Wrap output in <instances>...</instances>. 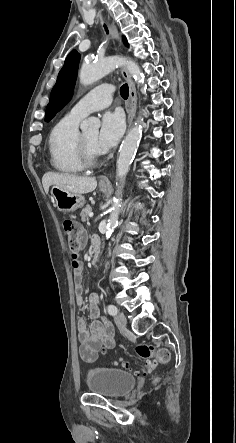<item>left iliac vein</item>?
I'll use <instances>...</instances> for the list:
<instances>
[{
    "label": "left iliac vein",
    "instance_id": "obj_1",
    "mask_svg": "<svg viewBox=\"0 0 236 443\" xmlns=\"http://www.w3.org/2000/svg\"><path fill=\"white\" fill-rule=\"evenodd\" d=\"M114 319H115V323L118 326V328H120V329L126 328L127 320H126V316L124 314L119 313L115 316Z\"/></svg>",
    "mask_w": 236,
    "mask_h": 443
}]
</instances>
